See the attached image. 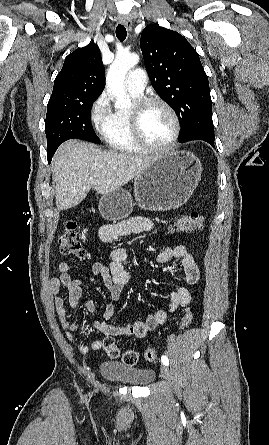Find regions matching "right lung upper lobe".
I'll return each instance as SVG.
<instances>
[{
    "label": "right lung upper lobe",
    "mask_w": 269,
    "mask_h": 445,
    "mask_svg": "<svg viewBox=\"0 0 269 445\" xmlns=\"http://www.w3.org/2000/svg\"><path fill=\"white\" fill-rule=\"evenodd\" d=\"M105 69L97 44L90 43L69 54L55 78L50 99L100 96L104 90Z\"/></svg>",
    "instance_id": "obj_1"
}]
</instances>
